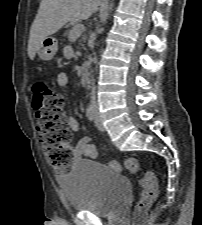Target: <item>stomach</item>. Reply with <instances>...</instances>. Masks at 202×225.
<instances>
[{
	"label": "stomach",
	"instance_id": "0dacf381",
	"mask_svg": "<svg viewBox=\"0 0 202 225\" xmlns=\"http://www.w3.org/2000/svg\"><path fill=\"white\" fill-rule=\"evenodd\" d=\"M58 50V42L54 37H46L38 49V56L41 60L50 61L54 58Z\"/></svg>",
	"mask_w": 202,
	"mask_h": 225
}]
</instances>
